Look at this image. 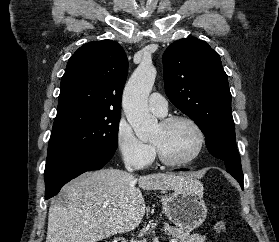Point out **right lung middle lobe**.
Instances as JSON below:
<instances>
[{"mask_svg":"<svg viewBox=\"0 0 279 242\" xmlns=\"http://www.w3.org/2000/svg\"><path fill=\"white\" fill-rule=\"evenodd\" d=\"M120 114L73 110L57 114L45 169L87 152L114 153L118 147Z\"/></svg>","mask_w":279,"mask_h":242,"instance_id":"obj_1","label":"right lung middle lobe"}]
</instances>
